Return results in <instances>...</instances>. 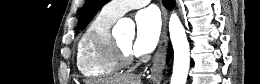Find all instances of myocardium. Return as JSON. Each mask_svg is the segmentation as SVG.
I'll return each mask as SVG.
<instances>
[{"label": "myocardium", "instance_id": "obj_1", "mask_svg": "<svg viewBox=\"0 0 260 84\" xmlns=\"http://www.w3.org/2000/svg\"><path fill=\"white\" fill-rule=\"evenodd\" d=\"M110 51L112 58L119 64V66H128L133 62L134 53L132 49L122 47L118 41L111 37Z\"/></svg>", "mask_w": 260, "mask_h": 84}]
</instances>
